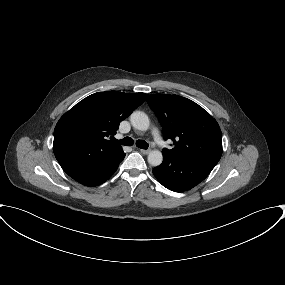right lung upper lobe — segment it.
Wrapping results in <instances>:
<instances>
[{
  "label": "right lung upper lobe",
  "mask_w": 285,
  "mask_h": 285,
  "mask_svg": "<svg viewBox=\"0 0 285 285\" xmlns=\"http://www.w3.org/2000/svg\"><path fill=\"white\" fill-rule=\"evenodd\" d=\"M146 98L145 93L106 91L94 93L65 113L54 130L53 151L58 161L80 157L97 161L122 153V147L107 140L119 123Z\"/></svg>",
  "instance_id": "1"
}]
</instances>
